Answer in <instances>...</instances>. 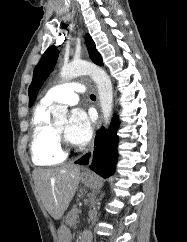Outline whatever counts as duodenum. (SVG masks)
<instances>
[{"instance_id": "obj_1", "label": "duodenum", "mask_w": 187, "mask_h": 242, "mask_svg": "<svg viewBox=\"0 0 187 242\" xmlns=\"http://www.w3.org/2000/svg\"><path fill=\"white\" fill-rule=\"evenodd\" d=\"M80 242H91V237L90 235L86 234L85 232L83 233Z\"/></svg>"}]
</instances>
